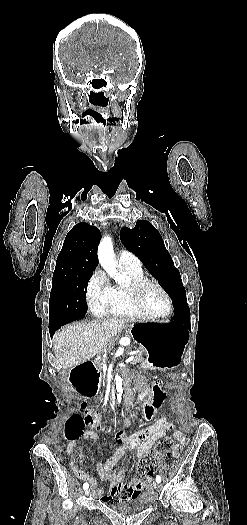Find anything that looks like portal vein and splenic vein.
Returning <instances> with one entry per match:
<instances>
[{"label": "portal vein and splenic vein", "instance_id": "18ae733b", "mask_svg": "<svg viewBox=\"0 0 247 525\" xmlns=\"http://www.w3.org/2000/svg\"><path fill=\"white\" fill-rule=\"evenodd\" d=\"M129 356H130V358H125L124 364H129V361H134L133 353H129ZM102 366H104V367H102L103 375H107V372H106L107 365H106V363H102Z\"/></svg>", "mask_w": 247, "mask_h": 525}]
</instances>
